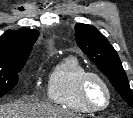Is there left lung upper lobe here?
Here are the masks:
<instances>
[{"mask_svg": "<svg viewBox=\"0 0 133 118\" xmlns=\"http://www.w3.org/2000/svg\"><path fill=\"white\" fill-rule=\"evenodd\" d=\"M78 46L102 71L128 105L133 108V93L115 49L94 26L78 23L75 26Z\"/></svg>", "mask_w": 133, "mask_h": 118, "instance_id": "5c2ea615", "label": "left lung upper lobe"}]
</instances>
